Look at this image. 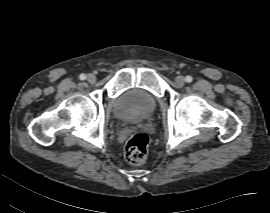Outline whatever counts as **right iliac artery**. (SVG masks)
I'll list each match as a JSON object with an SVG mask.
<instances>
[{
	"label": "right iliac artery",
	"instance_id": "right-iliac-artery-1",
	"mask_svg": "<svg viewBox=\"0 0 270 213\" xmlns=\"http://www.w3.org/2000/svg\"><path fill=\"white\" fill-rule=\"evenodd\" d=\"M79 78H80L81 80H84V79L86 78V76H85L84 74H81V75L79 76Z\"/></svg>",
	"mask_w": 270,
	"mask_h": 213
}]
</instances>
